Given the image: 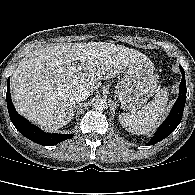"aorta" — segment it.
<instances>
[{
  "instance_id": "aorta-1",
  "label": "aorta",
  "mask_w": 195,
  "mask_h": 195,
  "mask_svg": "<svg viewBox=\"0 0 195 195\" xmlns=\"http://www.w3.org/2000/svg\"><path fill=\"white\" fill-rule=\"evenodd\" d=\"M93 106L97 111H103L107 109L108 103L105 99H96Z\"/></svg>"
}]
</instances>
